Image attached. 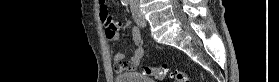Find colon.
I'll use <instances>...</instances> for the list:
<instances>
[{"label":"colon","mask_w":279,"mask_h":82,"mask_svg":"<svg viewBox=\"0 0 279 82\" xmlns=\"http://www.w3.org/2000/svg\"><path fill=\"white\" fill-rule=\"evenodd\" d=\"M100 17L105 27H111L113 21L109 15L108 10L106 7H100ZM144 74L152 77L155 81H160L163 79L165 74L167 73L166 67H144L143 68ZM174 82H189L188 75L183 71H177L172 75Z\"/></svg>","instance_id":"obj_1"}]
</instances>
